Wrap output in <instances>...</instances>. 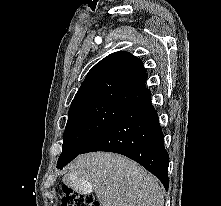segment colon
Wrapping results in <instances>:
<instances>
[{
    "instance_id": "1",
    "label": "colon",
    "mask_w": 221,
    "mask_h": 206,
    "mask_svg": "<svg viewBox=\"0 0 221 206\" xmlns=\"http://www.w3.org/2000/svg\"><path fill=\"white\" fill-rule=\"evenodd\" d=\"M62 206H101L93 196L74 194L69 188L64 189Z\"/></svg>"
}]
</instances>
